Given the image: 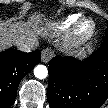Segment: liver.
<instances>
[{
	"instance_id": "obj_1",
	"label": "liver",
	"mask_w": 108,
	"mask_h": 108,
	"mask_svg": "<svg viewBox=\"0 0 108 108\" xmlns=\"http://www.w3.org/2000/svg\"><path fill=\"white\" fill-rule=\"evenodd\" d=\"M45 18L41 15L34 14L30 21L23 23H13L6 27L3 23L0 24V48L4 49L11 45L19 46L20 44H30L37 41V36L40 34L42 27L40 26Z\"/></svg>"
}]
</instances>
